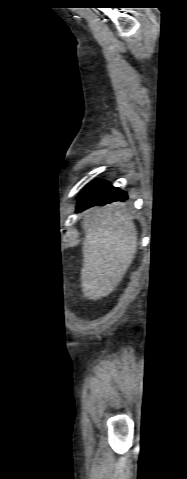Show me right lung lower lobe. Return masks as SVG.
Masks as SVG:
<instances>
[{
  "label": "right lung lower lobe",
  "instance_id": "right-lung-lower-lobe-1",
  "mask_svg": "<svg viewBox=\"0 0 187 479\" xmlns=\"http://www.w3.org/2000/svg\"><path fill=\"white\" fill-rule=\"evenodd\" d=\"M126 199L125 192L111 186L108 182L96 181L82 191L78 199L77 212L91 206L105 205L116 200L124 201Z\"/></svg>",
  "mask_w": 187,
  "mask_h": 479
}]
</instances>
